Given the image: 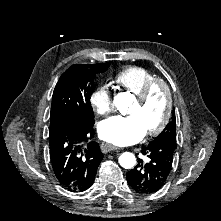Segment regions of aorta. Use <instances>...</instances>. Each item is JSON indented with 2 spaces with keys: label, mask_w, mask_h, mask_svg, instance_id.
Instances as JSON below:
<instances>
[{
  "label": "aorta",
  "mask_w": 221,
  "mask_h": 221,
  "mask_svg": "<svg viewBox=\"0 0 221 221\" xmlns=\"http://www.w3.org/2000/svg\"><path fill=\"white\" fill-rule=\"evenodd\" d=\"M134 101L133 95L130 93H119L114 98V105L120 112H125ZM119 164L125 169H131L136 164V158L133 153L124 152L119 157Z\"/></svg>",
  "instance_id": "obj_1"
}]
</instances>
